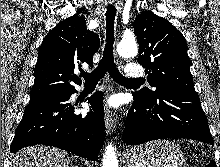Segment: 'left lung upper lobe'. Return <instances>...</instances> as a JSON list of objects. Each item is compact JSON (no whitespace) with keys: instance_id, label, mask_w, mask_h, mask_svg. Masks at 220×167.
<instances>
[{"instance_id":"obj_1","label":"left lung upper lobe","mask_w":220,"mask_h":167,"mask_svg":"<svg viewBox=\"0 0 220 167\" xmlns=\"http://www.w3.org/2000/svg\"><path fill=\"white\" fill-rule=\"evenodd\" d=\"M133 27L140 48L138 62L147 68V81L154 87L136 92L145 98H154L170 88L196 93L183 34L151 11L137 15Z\"/></svg>"}]
</instances>
